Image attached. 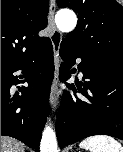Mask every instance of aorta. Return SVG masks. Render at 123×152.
<instances>
[{
	"label": "aorta",
	"mask_w": 123,
	"mask_h": 152,
	"mask_svg": "<svg viewBox=\"0 0 123 152\" xmlns=\"http://www.w3.org/2000/svg\"><path fill=\"white\" fill-rule=\"evenodd\" d=\"M58 29L62 32H71L77 24V17L73 11L61 10L55 17ZM57 140L54 130L50 126H46L43 131L40 151L41 152H58Z\"/></svg>",
	"instance_id": "obj_1"
}]
</instances>
